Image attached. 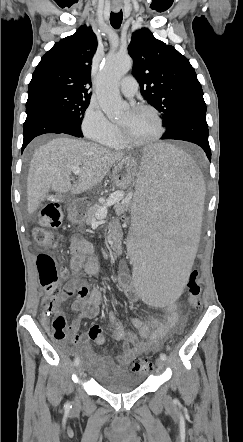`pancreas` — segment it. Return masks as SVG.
<instances>
[{
  "label": "pancreas",
  "mask_w": 243,
  "mask_h": 442,
  "mask_svg": "<svg viewBox=\"0 0 243 442\" xmlns=\"http://www.w3.org/2000/svg\"><path fill=\"white\" fill-rule=\"evenodd\" d=\"M130 203L126 200H124L123 202H117L114 206L115 212L117 215L123 214L124 212H126L129 208ZM101 206L99 204H95L93 206H91L86 214V223L90 224L92 222V220L95 218V214L97 212V210L100 208Z\"/></svg>",
  "instance_id": "1"
}]
</instances>
